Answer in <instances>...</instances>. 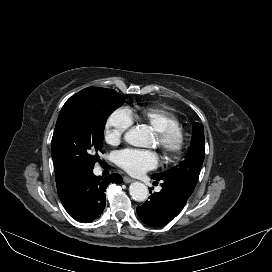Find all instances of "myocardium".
<instances>
[{
	"mask_svg": "<svg viewBox=\"0 0 272 272\" xmlns=\"http://www.w3.org/2000/svg\"><path fill=\"white\" fill-rule=\"evenodd\" d=\"M156 145L168 161L177 160L184 152L187 136L181 127L155 132Z\"/></svg>",
	"mask_w": 272,
	"mask_h": 272,
	"instance_id": "obj_1",
	"label": "myocardium"
}]
</instances>
